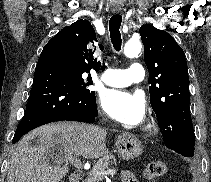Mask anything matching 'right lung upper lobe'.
Wrapping results in <instances>:
<instances>
[{
    "instance_id": "1",
    "label": "right lung upper lobe",
    "mask_w": 211,
    "mask_h": 182,
    "mask_svg": "<svg viewBox=\"0 0 211 182\" xmlns=\"http://www.w3.org/2000/svg\"><path fill=\"white\" fill-rule=\"evenodd\" d=\"M54 46L68 62L86 72L98 71L101 63L93 57L97 43L94 28L88 20H78L64 27L48 43Z\"/></svg>"
}]
</instances>
